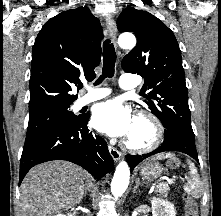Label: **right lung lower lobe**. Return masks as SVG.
Segmentation results:
<instances>
[{"label":"right lung lower lobe","instance_id":"1","mask_svg":"<svg viewBox=\"0 0 221 216\" xmlns=\"http://www.w3.org/2000/svg\"><path fill=\"white\" fill-rule=\"evenodd\" d=\"M89 115L53 130L35 142L24 145L20 160L19 184L35 165L51 160H67L88 170L96 179L114 166L106 141L88 128Z\"/></svg>","mask_w":221,"mask_h":216}]
</instances>
